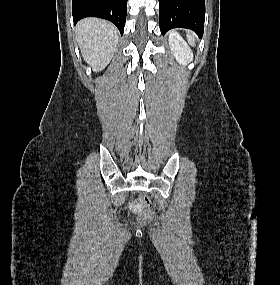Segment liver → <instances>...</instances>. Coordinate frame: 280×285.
Segmentation results:
<instances>
[{"label":"liver","instance_id":"obj_1","mask_svg":"<svg viewBox=\"0 0 280 285\" xmlns=\"http://www.w3.org/2000/svg\"><path fill=\"white\" fill-rule=\"evenodd\" d=\"M76 36L84 60L95 72L102 71L118 44L117 28L102 19L86 18L77 24Z\"/></svg>","mask_w":280,"mask_h":285}]
</instances>
